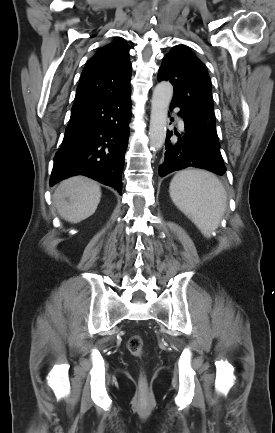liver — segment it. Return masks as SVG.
I'll return each mask as SVG.
<instances>
[{"label":"liver","mask_w":275,"mask_h":433,"mask_svg":"<svg viewBox=\"0 0 275 433\" xmlns=\"http://www.w3.org/2000/svg\"><path fill=\"white\" fill-rule=\"evenodd\" d=\"M100 198L101 189L95 181L75 176L60 183L53 194V203L63 219L79 223L94 214Z\"/></svg>","instance_id":"liver-1"}]
</instances>
